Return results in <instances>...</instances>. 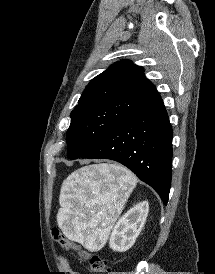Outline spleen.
Wrapping results in <instances>:
<instances>
[{"instance_id":"spleen-1","label":"spleen","mask_w":215,"mask_h":274,"mask_svg":"<svg viewBox=\"0 0 215 274\" xmlns=\"http://www.w3.org/2000/svg\"><path fill=\"white\" fill-rule=\"evenodd\" d=\"M136 184L135 175L119 165L98 164L74 171L61 187L59 227L86 247L105 242Z\"/></svg>"}]
</instances>
